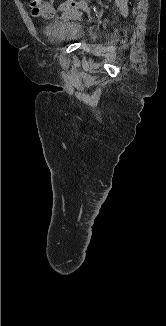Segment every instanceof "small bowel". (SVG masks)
Here are the masks:
<instances>
[{
	"instance_id": "small-bowel-1",
	"label": "small bowel",
	"mask_w": 166,
	"mask_h": 326,
	"mask_svg": "<svg viewBox=\"0 0 166 326\" xmlns=\"http://www.w3.org/2000/svg\"><path fill=\"white\" fill-rule=\"evenodd\" d=\"M29 8L31 14L39 18L48 19L56 13L52 0H29Z\"/></svg>"
}]
</instances>
